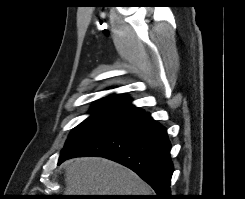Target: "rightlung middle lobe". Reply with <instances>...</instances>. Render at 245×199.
<instances>
[{
    "instance_id": "1",
    "label": "right lung middle lobe",
    "mask_w": 245,
    "mask_h": 199,
    "mask_svg": "<svg viewBox=\"0 0 245 199\" xmlns=\"http://www.w3.org/2000/svg\"><path fill=\"white\" fill-rule=\"evenodd\" d=\"M91 114L89 118L71 131L65 147L61 151L60 158L67 157L91 144L127 118L124 115L106 113L95 109L91 110Z\"/></svg>"
}]
</instances>
